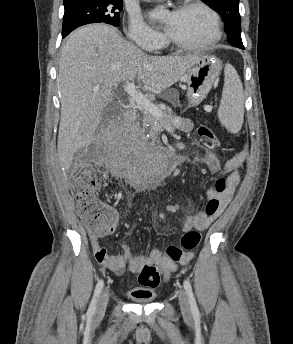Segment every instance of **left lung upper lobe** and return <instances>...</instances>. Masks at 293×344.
<instances>
[{"instance_id": "5c2ea615", "label": "left lung upper lobe", "mask_w": 293, "mask_h": 344, "mask_svg": "<svg viewBox=\"0 0 293 344\" xmlns=\"http://www.w3.org/2000/svg\"><path fill=\"white\" fill-rule=\"evenodd\" d=\"M216 10L224 20L228 42L239 48H244L241 39V23L239 0H202Z\"/></svg>"}]
</instances>
